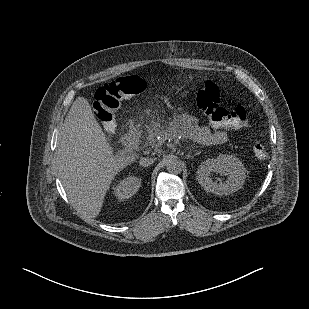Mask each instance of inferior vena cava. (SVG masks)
<instances>
[{"label":"inferior vena cava","mask_w":309,"mask_h":309,"mask_svg":"<svg viewBox=\"0 0 309 309\" xmlns=\"http://www.w3.org/2000/svg\"><path fill=\"white\" fill-rule=\"evenodd\" d=\"M155 158H151V157H140L139 159V165L141 167H148L150 165H152L155 162Z\"/></svg>","instance_id":"obj_1"}]
</instances>
